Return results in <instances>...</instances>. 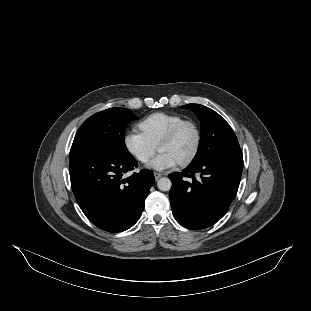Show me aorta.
I'll return each mask as SVG.
<instances>
[{"label": "aorta", "mask_w": 311, "mask_h": 311, "mask_svg": "<svg viewBox=\"0 0 311 311\" xmlns=\"http://www.w3.org/2000/svg\"><path fill=\"white\" fill-rule=\"evenodd\" d=\"M157 187L161 191H169L172 187V182L167 177H162L157 181Z\"/></svg>", "instance_id": "762f6f07"}]
</instances>
